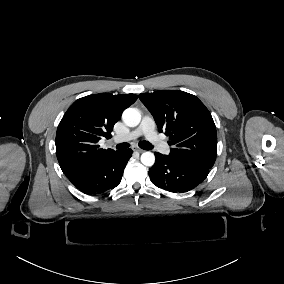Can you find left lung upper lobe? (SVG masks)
Instances as JSON below:
<instances>
[{
    "instance_id": "1",
    "label": "left lung upper lobe",
    "mask_w": 284,
    "mask_h": 284,
    "mask_svg": "<svg viewBox=\"0 0 284 284\" xmlns=\"http://www.w3.org/2000/svg\"><path fill=\"white\" fill-rule=\"evenodd\" d=\"M153 115L160 132L173 146L169 156L212 168L216 160L217 132L209 110L194 95L160 90L139 95Z\"/></svg>"
}]
</instances>
